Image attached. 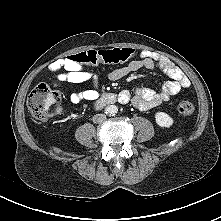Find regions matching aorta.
I'll list each match as a JSON object with an SVG mask.
<instances>
[{
	"label": "aorta",
	"instance_id": "1",
	"mask_svg": "<svg viewBox=\"0 0 221 221\" xmlns=\"http://www.w3.org/2000/svg\"><path fill=\"white\" fill-rule=\"evenodd\" d=\"M106 112L109 115H115L118 112V107L116 105H110L106 108Z\"/></svg>",
	"mask_w": 221,
	"mask_h": 221
}]
</instances>
